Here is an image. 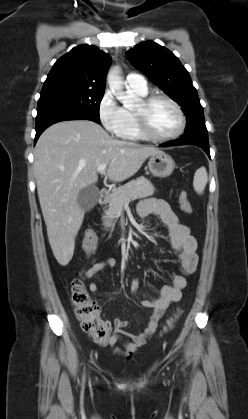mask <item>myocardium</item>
Returning <instances> with one entry per match:
<instances>
[{
    "mask_svg": "<svg viewBox=\"0 0 248 419\" xmlns=\"http://www.w3.org/2000/svg\"><path fill=\"white\" fill-rule=\"evenodd\" d=\"M157 100H164L171 104L173 108L176 110L178 117H179V126L175 132L166 136H158L154 134L149 127L148 119H147V109L148 107ZM134 116L136 119L137 127L140 134L151 141L155 142H167L174 140L181 136L186 128V117L182 107L179 105L177 101L165 94H152L149 96H145L140 101L139 108L134 110Z\"/></svg>",
    "mask_w": 248,
    "mask_h": 419,
    "instance_id": "1",
    "label": "myocardium"
}]
</instances>
